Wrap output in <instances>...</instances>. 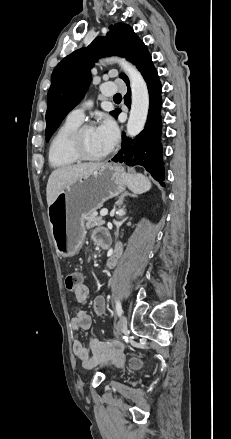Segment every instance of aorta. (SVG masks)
Returning a JSON list of instances; mask_svg holds the SVG:
<instances>
[{
    "label": "aorta",
    "instance_id": "1",
    "mask_svg": "<svg viewBox=\"0 0 231 439\" xmlns=\"http://www.w3.org/2000/svg\"><path fill=\"white\" fill-rule=\"evenodd\" d=\"M102 62L118 63L130 80L131 110L127 123V134L130 137H135L143 130L147 120L149 94L146 82L136 67L123 58L111 57L104 59ZM119 215H125V210L120 209Z\"/></svg>",
    "mask_w": 231,
    "mask_h": 439
}]
</instances>
